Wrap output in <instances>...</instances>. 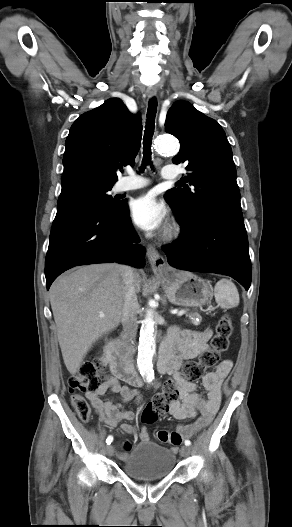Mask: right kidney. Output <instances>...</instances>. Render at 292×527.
Wrapping results in <instances>:
<instances>
[{
	"label": "right kidney",
	"instance_id": "1",
	"mask_svg": "<svg viewBox=\"0 0 292 527\" xmlns=\"http://www.w3.org/2000/svg\"><path fill=\"white\" fill-rule=\"evenodd\" d=\"M103 362L106 363V362H107V358H104V359H103Z\"/></svg>",
	"mask_w": 292,
	"mask_h": 527
}]
</instances>
